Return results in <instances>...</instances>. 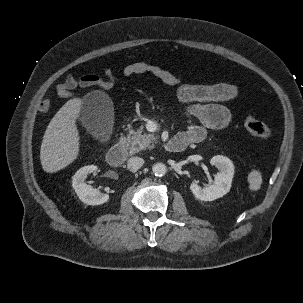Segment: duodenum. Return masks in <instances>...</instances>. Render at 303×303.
Returning a JSON list of instances; mask_svg holds the SVG:
<instances>
[{
	"label": "duodenum",
	"mask_w": 303,
	"mask_h": 303,
	"mask_svg": "<svg viewBox=\"0 0 303 303\" xmlns=\"http://www.w3.org/2000/svg\"><path fill=\"white\" fill-rule=\"evenodd\" d=\"M189 143L182 136H176L171 138L165 145L166 149L170 152H181L187 148ZM127 155V149L125 144L117 143L113 145L106 154V160L111 166L121 165Z\"/></svg>",
	"instance_id": "duodenum-1"
}]
</instances>
